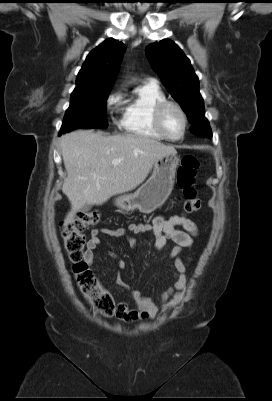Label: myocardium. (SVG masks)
<instances>
[{"label": "myocardium", "instance_id": "obj_1", "mask_svg": "<svg viewBox=\"0 0 272 401\" xmlns=\"http://www.w3.org/2000/svg\"><path fill=\"white\" fill-rule=\"evenodd\" d=\"M169 108H175L181 115L182 119H183V131L181 133V135L179 137H171L165 127H164V123H163V117L164 114L166 112L167 109ZM153 121H154V125L157 129V131L167 140L169 141H173V142H177L182 140L185 137V134L187 132V128H188V117L186 112L184 111V109L182 108V106L175 102V101H171V100H165L160 102L155 110H154V114H153Z\"/></svg>", "mask_w": 272, "mask_h": 401}]
</instances>
